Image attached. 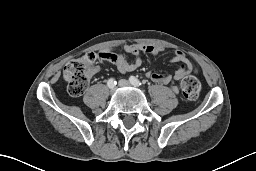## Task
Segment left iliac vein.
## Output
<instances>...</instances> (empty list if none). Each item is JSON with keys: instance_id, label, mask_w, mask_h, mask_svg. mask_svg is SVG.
Wrapping results in <instances>:
<instances>
[{"instance_id": "4c4485c4", "label": "left iliac vein", "mask_w": 256, "mask_h": 171, "mask_svg": "<svg viewBox=\"0 0 256 171\" xmlns=\"http://www.w3.org/2000/svg\"><path fill=\"white\" fill-rule=\"evenodd\" d=\"M118 84H119L120 87H129L131 85L130 82L125 80V79H121L118 82Z\"/></svg>"}]
</instances>
